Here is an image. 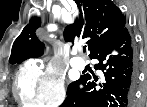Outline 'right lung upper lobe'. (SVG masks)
<instances>
[{
  "mask_svg": "<svg viewBox=\"0 0 147 107\" xmlns=\"http://www.w3.org/2000/svg\"><path fill=\"white\" fill-rule=\"evenodd\" d=\"M79 8V18L64 31L66 42L76 37L90 38L87 41L92 57L99 49L112 42L124 29L126 19L111 0H75ZM41 25L40 19L33 18L14 41L9 62L19 64L28 58L43 54L44 43L35 31Z\"/></svg>",
  "mask_w": 147,
  "mask_h": 107,
  "instance_id": "obj_1",
  "label": "right lung upper lobe"
}]
</instances>
